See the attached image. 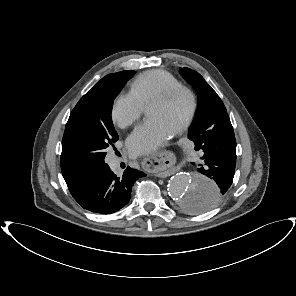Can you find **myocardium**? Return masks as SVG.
<instances>
[{"mask_svg":"<svg viewBox=\"0 0 296 296\" xmlns=\"http://www.w3.org/2000/svg\"><path fill=\"white\" fill-rule=\"evenodd\" d=\"M180 95H184L187 97L189 101V109L188 112L183 119V121L176 127L174 130V133H181L184 130H186L190 124L192 123L196 111H197V97L192 89H190L187 86L184 85H178L175 86L159 95L156 97L152 98L148 103L147 106L151 104H163V103H168L179 97Z\"/></svg>","mask_w":296,"mask_h":296,"instance_id":"myocardium-1","label":"myocardium"}]
</instances>
